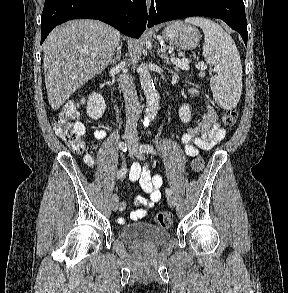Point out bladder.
I'll list each match as a JSON object with an SVG mask.
<instances>
[{"instance_id":"obj_1","label":"bladder","mask_w":288,"mask_h":293,"mask_svg":"<svg viewBox=\"0 0 288 293\" xmlns=\"http://www.w3.org/2000/svg\"><path fill=\"white\" fill-rule=\"evenodd\" d=\"M119 237L128 243L156 247L164 244L169 239L170 233L150 223H133L121 227Z\"/></svg>"}]
</instances>
